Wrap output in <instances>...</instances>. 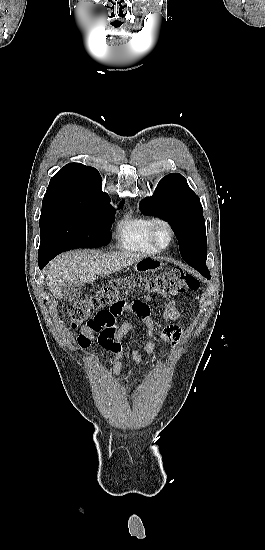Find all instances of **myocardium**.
Instances as JSON below:
<instances>
[{
	"label": "myocardium",
	"mask_w": 265,
	"mask_h": 550,
	"mask_svg": "<svg viewBox=\"0 0 265 550\" xmlns=\"http://www.w3.org/2000/svg\"><path fill=\"white\" fill-rule=\"evenodd\" d=\"M160 226L166 228L168 233H169V242H168L167 245H162L157 240L156 229ZM149 237H150L151 242L153 243V245L158 250H165L173 244L174 238H175V232H174V229H173L172 225L167 220L162 219V218H154V219L151 220V223H150V226H149Z\"/></svg>",
	"instance_id": "myocardium-1"
}]
</instances>
